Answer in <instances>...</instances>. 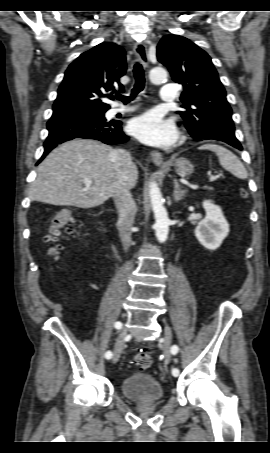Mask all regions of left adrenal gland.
<instances>
[{
    "instance_id": "1",
    "label": "left adrenal gland",
    "mask_w": 270,
    "mask_h": 453,
    "mask_svg": "<svg viewBox=\"0 0 270 453\" xmlns=\"http://www.w3.org/2000/svg\"><path fill=\"white\" fill-rule=\"evenodd\" d=\"M173 183H174V193H173L174 200L176 202H178V201L182 200V198L185 196L186 190H183L180 187L177 179H174Z\"/></svg>"
}]
</instances>
